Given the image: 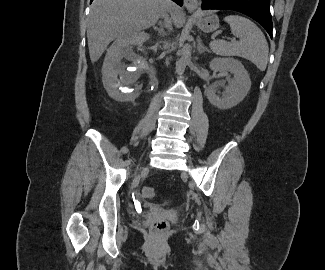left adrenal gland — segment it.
Masks as SVG:
<instances>
[{
  "instance_id": "obj_1",
  "label": "left adrenal gland",
  "mask_w": 325,
  "mask_h": 270,
  "mask_svg": "<svg viewBox=\"0 0 325 270\" xmlns=\"http://www.w3.org/2000/svg\"><path fill=\"white\" fill-rule=\"evenodd\" d=\"M197 50L199 54L205 51L209 52V50L203 45L202 40L200 38L198 39Z\"/></svg>"
}]
</instances>
